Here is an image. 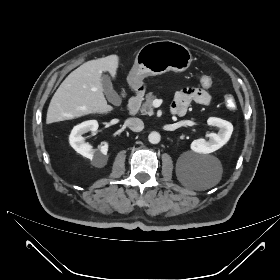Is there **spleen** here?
Here are the masks:
<instances>
[{
  "label": "spleen",
  "instance_id": "obj_1",
  "mask_svg": "<svg viewBox=\"0 0 280 280\" xmlns=\"http://www.w3.org/2000/svg\"><path fill=\"white\" fill-rule=\"evenodd\" d=\"M217 182H218V180H216V181H212V182H208V183L206 184V187H205V188H210V187H213L214 185H216V184H217Z\"/></svg>",
  "mask_w": 280,
  "mask_h": 280
}]
</instances>
